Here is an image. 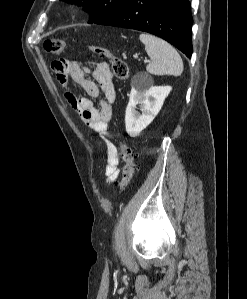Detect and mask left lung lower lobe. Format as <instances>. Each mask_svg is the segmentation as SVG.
<instances>
[{"mask_svg": "<svg viewBox=\"0 0 247 299\" xmlns=\"http://www.w3.org/2000/svg\"><path fill=\"white\" fill-rule=\"evenodd\" d=\"M94 23L154 34L191 57L193 19L188 0H121Z\"/></svg>", "mask_w": 247, "mask_h": 299, "instance_id": "obj_1", "label": "left lung lower lobe"}]
</instances>
